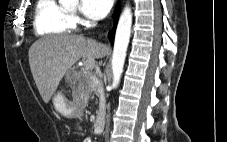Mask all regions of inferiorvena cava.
Instances as JSON below:
<instances>
[{"label":"inferior vena cava","mask_w":227,"mask_h":142,"mask_svg":"<svg viewBox=\"0 0 227 142\" xmlns=\"http://www.w3.org/2000/svg\"><path fill=\"white\" fill-rule=\"evenodd\" d=\"M106 118H107V121H106L105 140L107 141L108 133H109V125H110V113H109V111H108Z\"/></svg>","instance_id":"obj_1"}]
</instances>
